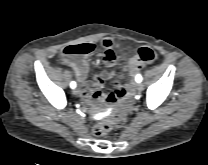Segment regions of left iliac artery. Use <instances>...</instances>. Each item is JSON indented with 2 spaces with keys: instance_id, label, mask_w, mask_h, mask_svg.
<instances>
[{
  "instance_id": "1",
  "label": "left iliac artery",
  "mask_w": 208,
  "mask_h": 165,
  "mask_svg": "<svg viewBox=\"0 0 208 165\" xmlns=\"http://www.w3.org/2000/svg\"><path fill=\"white\" fill-rule=\"evenodd\" d=\"M135 79H136V82L140 83L142 81V76L138 74Z\"/></svg>"
}]
</instances>
